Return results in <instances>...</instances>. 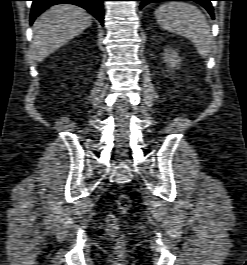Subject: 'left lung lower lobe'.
<instances>
[{
	"mask_svg": "<svg viewBox=\"0 0 247 265\" xmlns=\"http://www.w3.org/2000/svg\"><path fill=\"white\" fill-rule=\"evenodd\" d=\"M138 1H141L140 8H143L145 5L149 3L160 2V1H193L202 5L209 12L211 17L214 18L213 7L211 5V1L213 0H138Z\"/></svg>",
	"mask_w": 247,
	"mask_h": 265,
	"instance_id": "left-lung-lower-lobe-1",
	"label": "left lung lower lobe"
}]
</instances>
